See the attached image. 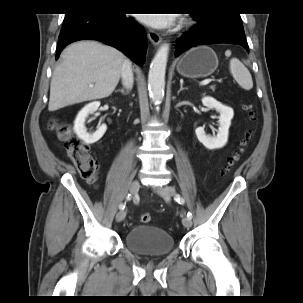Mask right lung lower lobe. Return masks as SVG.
<instances>
[{"mask_svg": "<svg viewBox=\"0 0 303 303\" xmlns=\"http://www.w3.org/2000/svg\"><path fill=\"white\" fill-rule=\"evenodd\" d=\"M85 39L111 45L138 65H143L145 61L147 37L144 28L124 14L93 8L66 14L58 39L56 60L68 44Z\"/></svg>", "mask_w": 303, "mask_h": 303, "instance_id": "1", "label": "right lung lower lobe"}]
</instances>
